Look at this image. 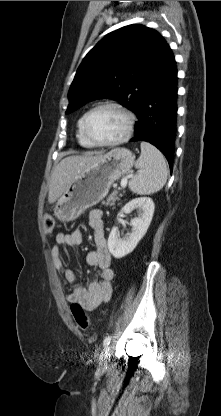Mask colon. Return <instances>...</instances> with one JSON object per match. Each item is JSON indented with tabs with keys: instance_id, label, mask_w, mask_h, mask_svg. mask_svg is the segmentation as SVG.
I'll list each match as a JSON object with an SVG mask.
<instances>
[{
	"instance_id": "1",
	"label": "colon",
	"mask_w": 221,
	"mask_h": 416,
	"mask_svg": "<svg viewBox=\"0 0 221 416\" xmlns=\"http://www.w3.org/2000/svg\"><path fill=\"white\" fill-rule=\"evenodd\" d=\"M43 225L46 233H51L55 226L54 218L52 216L45 217ZM70 309L75 319V322L77 323L79 328L82 330H86L89 327L90 322L83 307L79 303H72Z\"/></svg>"
}]
</instances>
